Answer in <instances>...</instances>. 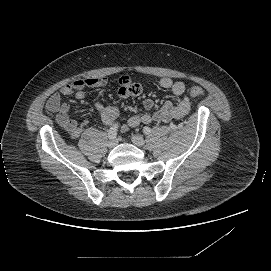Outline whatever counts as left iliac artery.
I'll use <instances>...</instances> for the list:
<instances>
[{"instance_id": "obj_1", "label": "left iliac artery", "mask_w": 271, "mask_h": 271, "mask_svg": "<svg viewBox=\"0 0 271 271\" xmlns=\"http://www.w3.org/2000/svg\"><path fill=\"white\" fill-rule=\"evenodd\" d=\"M143 133H144V134H150V133H151V128L148 127V126H145V127L143 128Z\"/></svg>"}]
</instances>
